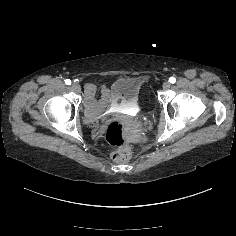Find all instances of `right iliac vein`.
Segmentation results:
<instances>
[{"label": "right iliac vein", "instance_id": "63e3f726", "mask_svg": "<svg viewBox=\"0 0 236 236\" xmlns=\"http://www.w3.org/2000/svg\"><path fill=\"white\" fill-rule=\"evenodd\" d=\"M71 88H72L75 92H80V91H81V87H80V85L77 84V83H73V84L71 85Z\"/></svg>", "mask_w": 236, "mask_h": 236}]
</instances>
